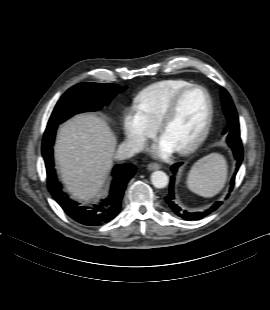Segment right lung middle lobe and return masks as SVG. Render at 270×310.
Returning <instances> with one entry per match:
<instances>
[{
	"instance_id": "obj_1",
	"label": "right lung middle lobe",
	"mask_w": 270,
	"mask_h": 310,
	"mask_svg": "<svg viewBox=\"0 0 270 310\" xmlns=\"http://www.w3.org/2000/svg\"><path fill=\"white\" fill-rule=\"evenodd\" d=\"M125 89L126 87L111 83L74 85L57 102L48 124H60L76 113L99 110Z\"/></svg>"
}]
</instances>
